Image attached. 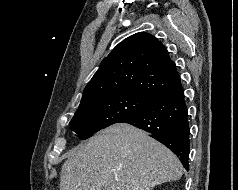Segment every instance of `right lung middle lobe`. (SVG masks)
<instances>
[{"mask_svg": "<svg viewBox=\"0 0 238 190\" xmlns=\"http://www.w3.org/2000/svg\"><path fill=\"white\" fill-rule=\"evenodd\" d=\"M152 101L129 94L99 97L80 103L69 123L70 129L86 139L97 131L142 111Z\"/></svg>", "mask_w": 238, "mask_h": 190, "instance_id": "right-lung-middle-lobe-1", "label": "right lung middle lobe"}]
</instances>
